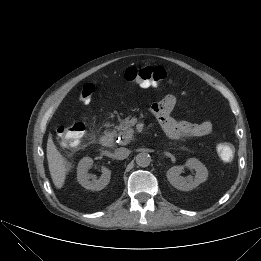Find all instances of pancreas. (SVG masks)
<instances>
[{
	"mask_svg": "<svg viewBox=\"0 0 261 261\" xmlns=\"http://www.w3.org/2000/svg\"><path fill=\"white\" fill-rule=\"evenodd\" d=\"M115 132L118 136L123 138L121 144L125 145L129 143L134 134L129 118L124 119L119 126H115Z\"/></svg>",
	"mask_w": 261,
	"mask_h": 261,
	"instance_id": "cf45deb5",
	"label": "pancreas"
}]
</instances>
